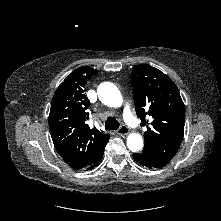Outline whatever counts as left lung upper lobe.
Segmentation results:
<instances>
[{
  "label": "left lung upper lobe",
  "mask_w": 221,
  "mask_h": 221,
  "mask_svg": "<svg viewBox=\"0 0 221 221\" xmlns=\"http://www.w3.org/2000/svg\"><path fill=\"white\" fill-rule=\"evenodd\" d=\"M131 84L137 116L144 133L142 153L161 166L174 157L184 135L185 107L175 83L148 64L132 69ZM146 115L151 120L145 119Z\"/></svg>",
  "instance_id": "left-lung-upper-lobe-1"
}]
</instances>
